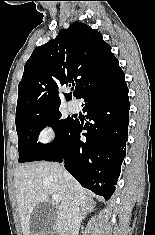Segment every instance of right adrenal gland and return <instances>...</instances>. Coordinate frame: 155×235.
<instances>
[{
  "instance_id": "2a0ac1e0",
  "label": "right adrenal gland",
  "mask_w": 155,
  "mask_h": 235,
  "mask_svg": "<svg viewBox=\"0 0 155 235\" xmlns=\"http://www.w3.org/2000/svg\"><path fill=\"white\" fill-rule=\"evenodd\" d=\"M95 204L92 201H86L82 206V218L84 219L86 215L94 210Z\"/></svg>"
}]
</instances>
